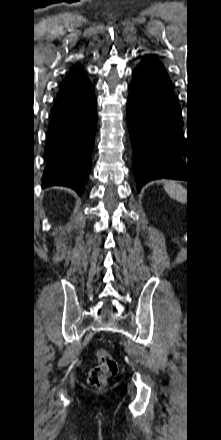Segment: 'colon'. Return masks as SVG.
I'll return each mask as SVG.
<instances>
[{"label":"colon","mask_w":221,"mask_h":440,"mask_svg":"<svg viewBox=\"0 0 221 440\" xmlns=\"http://www.w3.org/2000/svg\"><path fill=\"white\" fill-rule=\"evenodd\" d=\"M97 366H95L89 373L88 382L92 387L103 388L107 380L113 377L118 372V364L111 354L99 349L96 351Z\"/></svg>","instance_id":"5ec220e1"}]
</instances>
